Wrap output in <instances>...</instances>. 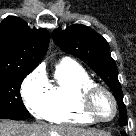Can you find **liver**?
Segmentation results:
<instances>
[{
  "label": "liver",
  "mask_w": 136,
  "mask_h": 136,
  "mask_svg": "<svg viewBox=\"0 0 136 136\" xmlns=\"http://www.w3.org/2000/svg\"><path fill=\"white\" fill-rule=\"evenodd\" d=\"M0 136H108L96 129H80L48 124H19L0 121Z\"/></svg>",
  "instance_id": "obj_1"
}]
</instances>
